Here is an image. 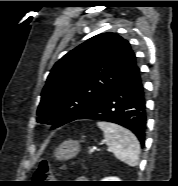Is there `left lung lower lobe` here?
<instances>
[{
    "label": "left lung lower lobe",
    "instance_id": "1",
    "mask_svg": "<svg viewBox=\"0 0 178 186\" xmlns=\"http://www.w3.org/2000/svg\"><path fill=\"white\" fill-rule=\"evenodd\" d=\"M77 119H93L119 124L131 130L141 145H144L146 101L140 69L138 68L133 74L119 82L103 99L74 120Z\"/></svg>",
    "mask_w": 178,
    "mask_h": 186
}]
</instances>
